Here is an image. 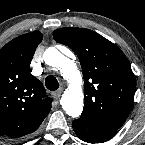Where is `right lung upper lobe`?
<instances>
[{
	"label": "right lung upper lobe",
	"instance_id": "right-lung-upper-lobe-1",
	"mask_svg": "<svg viewBox=\"0 0 145 145\" xmlns=\"http://www.w3.org/2000/svg\"><path fill=\"white\" fill-rule=\"evenodd\" d=\"M42 34L21 35L0 50V135L18 138L38 129L51 109L42 83L30 63Z\"/></svg>",
	"mask_w": 145,
	"mask_h": 145
}]
</instances>
